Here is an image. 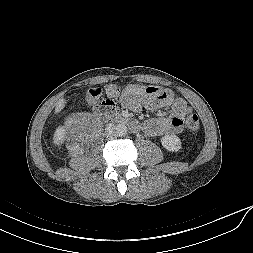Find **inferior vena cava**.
<instances>
[{
	"mask_svg": "<svg viewBox=\"0 0 253 253\" xmlns=\"http://www.w3.org/2000/svg\"><path fill=\"white\" fill-rule=\"evenodd\" d=\"M105 134L107 135V137L109 138H114L116 136L115 131H114V127H112L111 125H108L105 128Z\"/></svg>",
	"mask_w": 253,
	"mask_h": 253,
	"instance_id": "inferior-vena-cava-1",
	"label": "inferior vena cava"
}]
</instances>
